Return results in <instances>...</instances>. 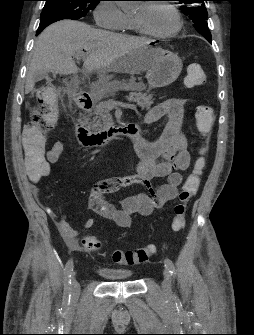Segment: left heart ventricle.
Wrapping results in <instances>:
<instances>
[{"instance_id":"obj_1","label":"left heart ventricle","mask_w":254,"mask_h":335,"mask_svg":"<svg viewBox=\"0 0 254 335\" xmlns=\"http://www.w3.org/2000/svg\"><path fill=\"white\" fill-rule=\"evenodd\" d=\"M134 18L140 21L148 30L166 33L175 27L176 20L173 12L164 5L139 6Z\"/></svg>"}]
</instances>
